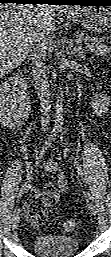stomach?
I'll use <instances>...</instances> for the list:
<instances>
[{
    "mask_svg": "<svg viewBox=\"0 0 111 257\" xmlns=\"http://www.w3.org/2000/svg\"><path fill=\"white\" fill-rule=\"evenodd\" d=\"M67 16L74 24L92 33H102L111 27V12L105 7L75 6Z\"/></svg>",
    "mask_w": 111,
    "mask_h": 257,
    "instance_id": "1",
    "label": "stomach"
}]
</instances>
